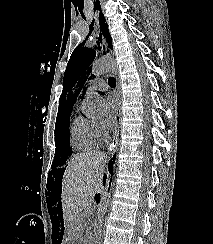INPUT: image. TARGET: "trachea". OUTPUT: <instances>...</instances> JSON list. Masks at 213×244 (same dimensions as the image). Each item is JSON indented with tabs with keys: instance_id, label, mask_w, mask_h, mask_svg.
<instances>
[{
	"instance_id": "obj_1",
	"label": "trachea",
	"mask_w": 213,
	"mask_h": 244,
	"mask_svg": "<svg viewBox=\"0 0 213 244\" xmlns=\"http://www.w3.org/2000/svg\"><path fill=\"white\" fill-rule=\"evenodd\" d=\"M108 84H109L110 87H115L116 86L115 78L114 77H110L108 79Z\"/></svg>"
}]
</instances>
